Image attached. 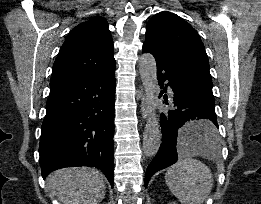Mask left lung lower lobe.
<instances>
[{"label":"left lung lower lobe","mask_w":261,"mask_h":204,"mask_svg":"<svg viewBox=\"0 0 261 204\" xmlns=\"http://www.w3.org/2000/svg\"><path fill=\"white\" fill-rule=\"evenodd\" d=\"M143 52H149L155 57L159 84L168 80V85L174 92L171 101H168L167 95L164 94V102L169 107L161 113L162 144L147 168V187L154 173L177 161V152L181 148L193 149L201 141H215L218 124L211 84L182 68L163 62L145 47ZM165 92L166 87L160 92V97ZM188 121H196L198 124L191 131L183 133L181 127Z\"/></svg>","instance_id":"0a47b994"}]
</instances>
